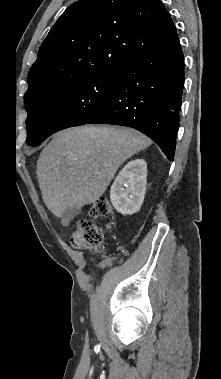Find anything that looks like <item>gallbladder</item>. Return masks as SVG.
Wrapping results in <instances>:
<instances>
[{"label": "gallbladder", "mask_w": 221, "mask_h": 379, "mask_svg": "<svg viewBox=\"0 0 221 379\" xmlns=\"http://www.w3.org/2000/svg\"><path fill=\"white\" fill-rule=\"evenodd\" d=\"M81 213V207L77 208V207H71V208H66L63 213H62V216H61V222L63 225H68L69 222L74 218L76 217L77 215H79Z\"/></svg>", "instance_id": "gallbladder-1"}]
</instances>
